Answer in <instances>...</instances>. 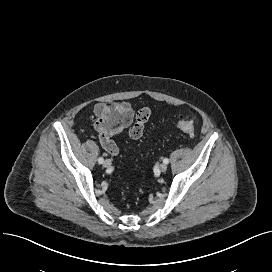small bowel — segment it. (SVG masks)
<instances>
[{
    "label": "small bowel",
    "mask_w": 272,
    "mask_h": 272,
    "mask_svg": "<svg viewBox=\"0 0 272 272\" xmlns=\"http://www.w3.org/2000/svg\"><path fill=\"white\" fill-rule=\"evenodd\" d=\"M107 105H112V106L118 107L119 109H121L125 112H128L130 114V122L128 123V125L132 122L133 110H132V107L130 106L129 103H127V102L107 103V104L100 103V104H97L95 107L96 113H99L100 110H102ZM144 112L146 114H148V117H147V120H148L149 114H150V111L148 108L141 109L140 111L137 112V114L144 113ZM137 114H136V116H137ZM133 140H138V139H133ZM101 144H102L103 149L112 156H117L120 152V149L117 146V144L113 140H111L108 136L101 139Z\"/></svg>",
    "instance_id": "obj_1"
}]
</instances>
